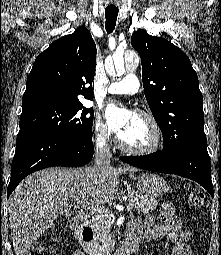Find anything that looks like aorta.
<instances>
[{"mask_svg":"<svg viewBox=\"0 0 221 255\" xmlns=\"http://www.w3.org/2000/svg\"><path fill=\"white\" fill-rule=\"evenodd\" d=\"M114 66L113 69L116 72L117 77H121L125 70L133 71L138 67L139 57L136 53L130 51L123 54H115L113 56ZM106 70L111 72V66L106 64Z\"/></svg>","mask_w":221,"mask_h":255,"instance_id":"aorta-1","label":"aorta"}]
</instances>
